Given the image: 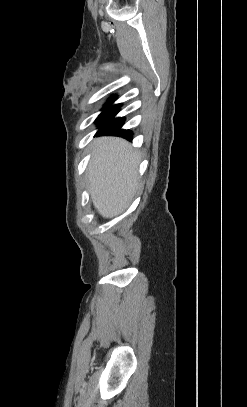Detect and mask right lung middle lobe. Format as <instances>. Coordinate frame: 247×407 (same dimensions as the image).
Masks as SVG:
<instances>
[{
	"label": "right lung middle lobe",
	"mask_w": 247,
	"mask_h": 407,
	"mask_svg": "<svg viewBox=\"0 0 247 407\" xmlns=\"http://www.w3.org/2000/svg\"><path fill=\"white\" fill-rule=\"evenodd\" d=\"M114 101V99H111V101L106 104V106H109L112 102ZM121 106V104H117V105H112L111 107L104 109L103 112L98 116V118L96 119V123L97 124H101L108 116H110L111 114H113L115 111H117V109Z\"/></svg>",
	"instance_id": "dd1d6c3e"
}]
</instances>
